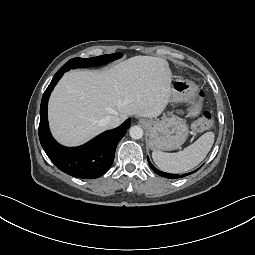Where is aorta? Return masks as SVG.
Segmentation results:
<instances>
[{
    "label": "aorta",
    "instance_id": "aorta-1",
    "mask_svg": "<svg viewBox=\"0 0 255 255\" xmlns=\"http://www.w3.org/2000/svg\"><path fill=\"white\" fill-rule=\"evenodd\" d=\"M129 134L133 139H141L143 137V130L139 126H132L129 130Z\"/></svg>",
    "mask_w": 255,
    "mask_h": 255
}]
</instances>
